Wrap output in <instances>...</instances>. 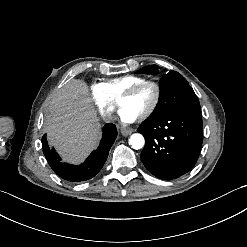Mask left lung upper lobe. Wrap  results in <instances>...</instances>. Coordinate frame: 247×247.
I'll return each mask as SVG.
<instances>
[{"label": "left lung upper lobe", "mask_w": 247, "mask_h": 247, "mask_svg": "<svg viewBox=\"0 0 247 247\" xmlns=\"http://www.w3.org/2000/svg\"><path fill=\"white\" fill-rule=\"evenodd\" d=\"M137 73L157 74L158 66H146ZM176 110H192L201 113L199 100L187 80L178 72L169 71L160 81L159 102L147 120L157 119Z\"/></svg>", "instance_id": "obj_1"}]
</instances>
